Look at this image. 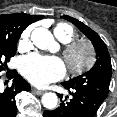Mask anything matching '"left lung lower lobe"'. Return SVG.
Listing matches in <instances>:
<instances>
[{
    "label": "left lung lower lobe",
    "instance_id": "0a47b994",
    "mask_svg": "<svg viewBox=\"0 0 117 117\" xmlns=\"http://www.w3.org/2000/svg\"><path fill=\"white\" fill-rule=\"evenodd\" d=\"M62 85L67 90H71L73 98L69 101L60 104V107L53 111H44V117H94L97 110L104 100H101L94 93L88 92L85 89L71 87L66 84ZM62 98V96H61Z\"/></svg>",
    "mask_w": 117,
    "mask_h": 117
}]
</instances>
